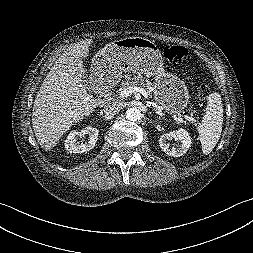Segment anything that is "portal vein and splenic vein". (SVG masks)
<instances>
[{"label":"portal vein and splenic vein","mask_w":253,"mask_h":253,"mask_svg":"<svg viewBox=\"0 0 253 253\" xmlns=\"http://www.w3.org/2000/svg\"><path fill=\"white\" fill-rule=\"evenodd\" d=\"M134 92H139L142 96L148 97V93L143 88H140V87H137V86H130V87H127V88L123 89L120 92V96L121 97H128V96H130ZM184 118L186 120H189V121H193L194 120V118H192L190 116H185ZM178 120L180 122H183L182 118H178Z\"/></svg>","instance_id":"1"}]
</instances>
